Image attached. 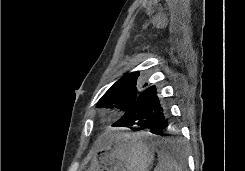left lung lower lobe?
<instances>
[{
	"label": "left lung lower lobe",
	"mask_w": 245,
	"mask_h": 171,
	"mask_svg": "<svg viewBox=\"0 0 245 171\" xmlns=\"http://www.w3.org/2000/svg\"><path fill=\"white\" fill-rule=\"evenodd\" d=\"M169 120L168 107L158 98L155 86H151L139 94L134 105L112 126L130 127L134 131L150 129L153 134L165 136Z\"/></svg>",
	"instance_id": "obj_1"
}]
</instances>
